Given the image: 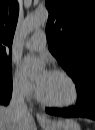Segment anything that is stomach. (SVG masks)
<instances>
[{
	"mask_svg": "<svg viewBox=\"0 0 95 130\" xmlns=\"http://www.w3.org/2000/svg\"><path fill=\"white\" fill-rule=\"evenodd\" d=\"M44 130H81L80 125L74 119L50 120L47 124H41Z\"/></svg>",
	"mask_w": 95,
	"mask_h": 130,
	"instance_id": "1",
	"label": "stomach"
}]
</instances>
